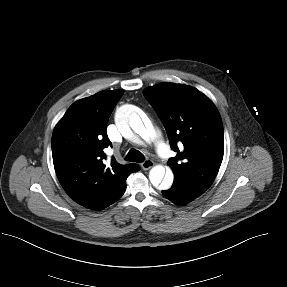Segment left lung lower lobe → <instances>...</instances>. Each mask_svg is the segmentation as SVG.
Here are the masks:
<instances>
[{
  "label": "left lung lower lobe",
  "instance_id": "1",
  "mask_svg": "<svg viewBox=\"0 0 287 287\" xmlns=\"http://www.w3.org/2000/svg\"><path fill=\"white\" fill-rule=\"evenodd\" d=\"M162 194L177 205H186L201 195L178 180H174L172 187L168 190H163Z\"/></svg>",
  "mask_w": 287,
  "mask_h": 287
}]
</instances>
